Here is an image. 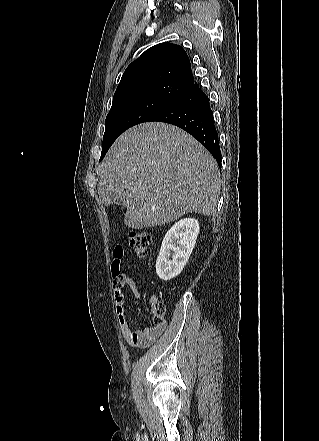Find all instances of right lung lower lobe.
<instances>
[{
  "label": "right lung lower lobe",
  "instance_id": "1",
  "mask_svg": "<svg viewBox=\"0 0 319 441\" xmlns=\"http://www.w3.org/2000/svg\"><path fill=\"white\" fill-rule=\"evenodd\" d=\"M165 122L178 126L196 138L221 165L218 133L214 125L209 98L197 84L191 85L148 122Z\"/></svg>",
  "mask_w": 319,
  "mask_h": 441
}]
</instances>
